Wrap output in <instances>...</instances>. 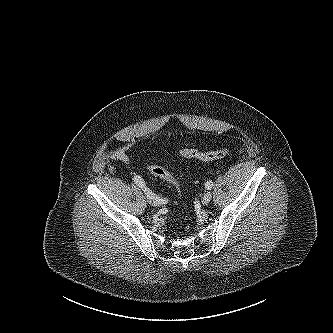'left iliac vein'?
<instances>
[{
  "instance_id": "left-iliac-vein-1",
  "label": "left iliac vein",
  "mask_w": 333,
  "mask_h": 333,
  "mask_svg": "<svg viewBox=\"0 0 333 333\" xmlns=\"http://www.w3.org/2000/svg\"><path fill=\"white\" fill-rule=\"evenodd\" d=\"M212 199V193L211 192H207L204 194L203 198H202V203L204 205H207Z\"/></svg>"
}]
</instances>
